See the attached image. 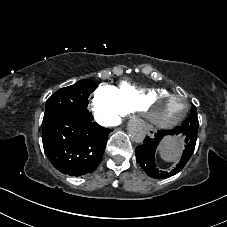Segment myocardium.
<instances>
[{"instance_id":"1","label":"myocardium","mask_w":227,"mask_h":227,"mask_svg":"<svg viewBox=\"0 0 227 227\" xmlns=\"http://www.w3.org/2000/svg\"><path fill=\"white\" fill-rule=\"evenodd\" d=\"M164 98H181L184 101V107L182 110V113L177 116L176 118L169 120V121H160L158 120L151 112V109L159 103L162 99ZM189 101L186 95L181 94V93H171L167 92L161 95H156L148 100L143 104L142 109H141V114L143 119L147 122L148 125L153 126V127H172L180 123L187 115L189 111Z\"/></svg>"}]
</instances>
